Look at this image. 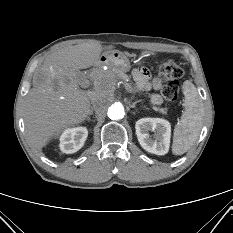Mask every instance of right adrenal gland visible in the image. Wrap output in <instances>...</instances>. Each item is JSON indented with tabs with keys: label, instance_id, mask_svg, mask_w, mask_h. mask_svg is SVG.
I'll list each match as a JSON object with an SVG mask.
<instances>
[{
	"label": "right adrenal gland",
	"instance_id": "obj_1",
	"mask_svg": "<svg viewBox=\"0 0 233 233\" xmlns=\"http://www.w3.org/2000/svg\"><path fill=\"white\" fill-rule=\"evenodd\" d=\"M93 115V109H90L89 114L86 118L87 121H90V116Z\"/></svg>",
	"mask_w": 233,
	"mask_h": 233
}]
</instances>
